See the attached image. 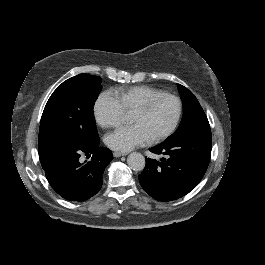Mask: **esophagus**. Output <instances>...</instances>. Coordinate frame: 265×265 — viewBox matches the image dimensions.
<instances>
[{"mask_svg":"<svg viewBox=\"0 0 265 265\" xmlns=\"http://www.w3.org/2000/svg\"><path fill=\"white\" fill-rule=\"evenodd\" d=\"M113 155L115 157H121V156L126 155V153L125 152H121V151H115V152H113Z\"/></svg>","mask_w":265,"mask_h":265,"instance_id":"esophagus-1","label":"esophagus"}]
</instances>
